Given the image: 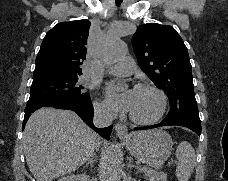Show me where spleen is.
<instances>
[{
	"label": "spleen",
	"instance_id": "obj_1",
	"mask_svg": "<svg viewBox=\"0 0 228 181\" xmlns=\"http://www.w3.org/2000/svg\"><path fill=\"white\" fill-rule=\"evenodd\" d=\"M176 159V177L178 181H189L195 167V153L192 145L187 141H182L177 147Z\"/></svg>",
	"mask_w": 228,
	"mask_h": 181
}]
</instances>
